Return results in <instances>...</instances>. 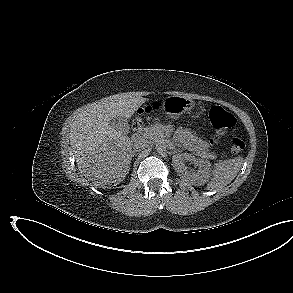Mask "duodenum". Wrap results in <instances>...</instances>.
<instances>
[{"label": "duodenum", "instance_id": "410a0bca", "mask_svg": "<svg viewBox=\"0 0 293 293\" xmlns=\"http://www.w3.org/2000/svg\"><path fill=\"white\" fill-rule=\"evenodd\" d=\"M143 126L142 125H139L137 128H136V132L134 133L133 135V141L138 144L140 142H142L143 140Z\"/></svg>", "mask_w": 293, "mask_h": 293}]
</instances>
